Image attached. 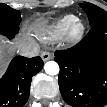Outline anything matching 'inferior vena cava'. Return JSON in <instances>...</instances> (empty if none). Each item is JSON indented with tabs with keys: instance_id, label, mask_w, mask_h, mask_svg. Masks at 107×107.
<instances>
[{
	"instance_id": "602c4592",
	"label": "inferior vena cava",
	"mask_w": 107,
	"mask_h": 107,
	"mask_svg": "<svg viewBox=\"0 0 107 107\" xmlns=\"http://www.w3.org/2000/svg\"><path fill=\"white\" fill-rule=\"evenodd\" d=\"M18 54L24 57H35L39 55V47L34 44L23 43L18 47Z\"/></svg>"
}]
</instances>
